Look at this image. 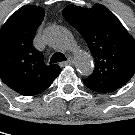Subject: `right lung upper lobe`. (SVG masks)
Masks as SVG:
<instances>
[{
	"mask_svg": "<svg viewBox=\"0 0 135 135\" xmlns=\"http://www.w3.org/2000/svg\"><path fill=\"white\" fill-rule=\"evenodd\" d=\"M44 15L43 8L25 5L0 29V78L20 95L43 92L61 72L57 64H44L42 53L32 45Z\"/></svg>",
	"mask_w": 135,
	"mask_h": 135,
	"instance_id": "cb5924a9",
	"label": "right lung upper lobe"
}]
</instances>
